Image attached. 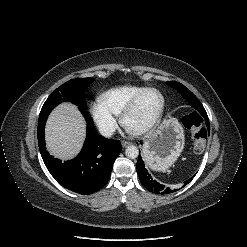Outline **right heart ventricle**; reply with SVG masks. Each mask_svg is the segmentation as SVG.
<instances>
[{
	"label": "right heart ventricle",
	"mask_w": 247,
	"mask_h": 247,
	"mask_svg": "<svg viewBox=\"0 0 247 247\" xmlns=\"http://www.w3.org/2000/svg\"><path fill=\"white\" fill-rule=\"evenodd\" d=\"M146 87L125 85L112 88L100 96V101L114 115L122 114L133 97Z\"/></svg>",
	"instance_id": "1"
}]
</instances>
